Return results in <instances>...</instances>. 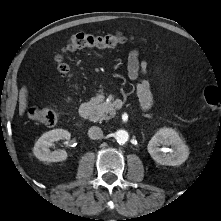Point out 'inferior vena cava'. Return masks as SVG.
I'll list each match as a JSON object with an SVG mask.
<instances>
[{
	"label": "inferior vena cava",
	"instance_id": "1",
	"mask_svg": "<svg viewBox=\"0 0 221 221\" xmlns=\"http://www.w3.org/2000/svg\"><path fill=\"white\" fill-rule=\"evenodd\" d=\"M88 136L93 140L100 139L103 136V131L100 127L92 126L88 130Z\"/></svg>",
	"mask_w": 221,
	"mask_h": 221
}]
</instances>
